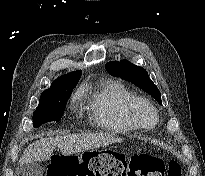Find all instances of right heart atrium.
Masks as SVG:
<instances>
[{"label":"right heart atrium","mask_w":205,"mask_h":176,"mask_svg":"<svg viewBox=\"0 0 205 176\" xmlns=\"http://www.w3.org/2000/svg\"><path fill=\"white\" fill-rule=\"evenodd\" d=\"M75 99H76V98L74 97V98H73V101H75Z\"/></svg>","instance_id":"d8ad5b80"}]
</instances>
